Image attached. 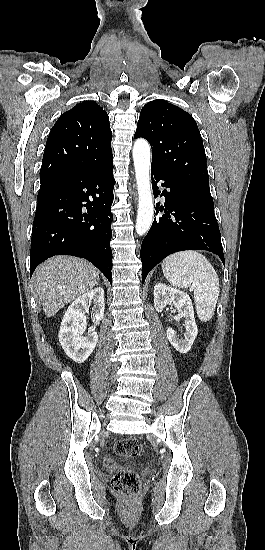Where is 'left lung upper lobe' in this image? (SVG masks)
Listing matches in <instances>:
<instances>
[{
    "label": "left lung upper lobe",
    "instance_id": "obj_1",
    "mask_svg": "<svg viewBox=\"0 0 265 550\" xmlns=\"http://www.w3.org/2000/svg\"><path fill=\"white\" fill-rule=\"evenodd\" d=\"M134 137L149 141L151 167L173 184L213 200L202 137L189 113L163 99L150 101L140 112Z\"/></svg>",
    "mask_w": 265,
    "mask_h": 550
}]
</instances>
